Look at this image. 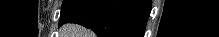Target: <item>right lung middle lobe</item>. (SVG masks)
<instances>
[{
	"label": "right lung middle lobe",
	"instance_id": "obj_1",
	"mask_svg": "<svg viewBox=\"0 0 219 37\" xmlns=\"http://www.w3.org/2000/svg\"><path fill=\"white\" fill-rule=\"evenodd\" d=\"M75 0H64L63 4H62V9L61 11H63L66 7H68L69 5H71Z\"/></svg>",
	"mask_w": 219,
	"mask_h": 37
}]
</instances>
